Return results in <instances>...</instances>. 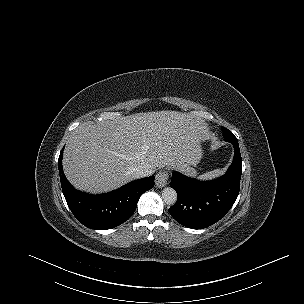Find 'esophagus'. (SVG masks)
<instances>
[{"label":"esophagus","instance_id":"34e87169","mask_svg":"<svg viewBox=\"0 0 304 304\" xmlns=\"http://www.w3.org/2000/svg\"><path fill=\"white\" fill-rule=\"evenodd\" d=\"M169 175L166 171H160L155 177V185L162 188L168 184Z\"/></svg>","mask_w":304,"mask_h":304}]
</instances>
